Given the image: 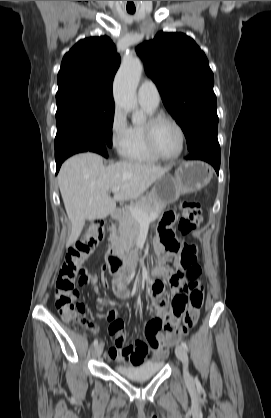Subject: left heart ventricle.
Here are the masks:
<instances>
[{
	"instance_id": "b2bd125f",
	"label": "left heart ventricle",
	"mask_w": 271,
	"mask_h": 418,
	"mask_svg": "<svg viewBox=\"0 0 271 418\" xmlns=\"http://www.w3.org/2000/svg\"><path fill=\"white\" fill-rule=\"evenodd\" d=\"M180 134L170 122L159 123L155 130V143L159 151L167 156L176 154L180 149Z\"/></svg>"
}]
</instances>
